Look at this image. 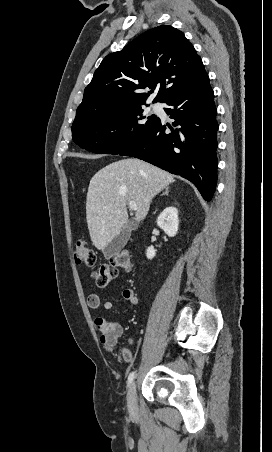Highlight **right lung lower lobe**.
Masks as SVG:
<instances>
[{"label":"right lung lower lobe","instance_id":"98d812e1","mask_svg":"<svg viewBox=\"0 0 272 452\" xmlns=\"http://www.w3.org/2000/svg\"><path fill=\"white\" fill-rule=\"evenodd\" d=\"M209 77L165 103L173 129L159 118L133 145L119 153L142 159L191 181L206 201L217 182V109ZM170 131H169V129Z\"/></svg>","mask_w":272,"mask_h":452}]
</instances>
